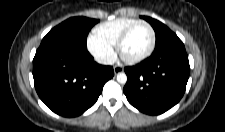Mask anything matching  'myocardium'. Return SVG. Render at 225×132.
Returning <instances> with one entry per match:
<instances>
[{
  "mask_svg": "<svg viewBox=\"0 0 225 132\" xmlns=\"http://www.w3.org/2000/svg\"><path fill=\"white\" fill-rule=\"evenodd\" d=\"M140 24L146 25L150 30V34H151L150 45H149L148 49L142 55L135 57V58H126L122 55V52H121L122 46H123L124 42L126 41V39L128 38V36L130 35V33L132 32V30ZM155 44H156V33H155L153 26L147 21L137 20V21L133 22L132 24H130L121 33V35L119 36V38L116 42V50H117V53L119 54V56L121 57V59L123 61H125L126 63L137 64V63L144 61L152 54V52L154 51V48H155Z\"/></svg>",
  "mask_w": 225,
  "mask_h": 132,
  "instance_id": "1",
  "label": "myocardium"
}]
</instances>
